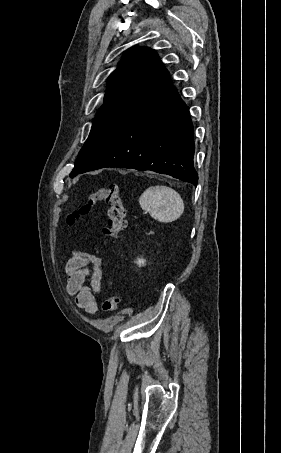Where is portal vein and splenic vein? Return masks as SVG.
Wrapping results in <instances>:
<instances>
[{
    "label": "portal vein and splenic vein",
    "mask_w": 281,
    "mask_h": 453,
    "mask_svg": "<svg viewBox=\"0 0 281 453\" xmlns=\"http://www.w3.org/2000/svg\"><path fill=\"white\" fill-rule=\"evenodd\" d=\"M144 212H145L144 214L146 215V214H147V213H146L147 211L145 210Z\"/></svg>",
    "instance_id": "portal-vein-and-splenic-vein-1"
}]
</instances>
